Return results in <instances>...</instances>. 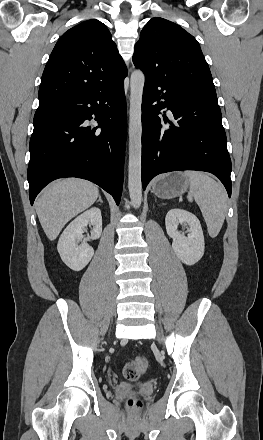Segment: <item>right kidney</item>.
I'll list each match as a JSON object with an SVG mask.
<instances>
[{
	"mask_svg": "<svg viewBox=\"0 0 263 440\" xmlns=\"http://www.w3.org/2000/svg\"><path fill=\"white\" fill-rule=\"evenodd\" d=\"M88 224L93 226L91 239H98L102 233V216L97 207L85 211L76 217L63 231L57 249L62 261L72 270H82L94 255V249L86 242L78 245L83 238V229Z\"/></svg>",
	"mask_w": 263,
	"mask_h": 440,
	"instance_id": "ca27d5eb",
	"label": "right kidney"
}]
</instances>
